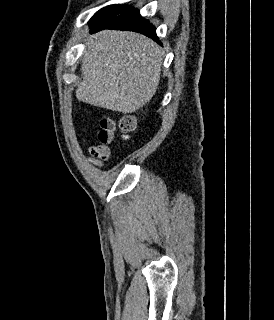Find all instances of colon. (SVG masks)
I'll return each instance as SVG.
<instances>
[{
    "label": "colon",
    "instance_id": "5ec220e1",
    "mask_svg": "<svg viewBox=\"0 0 274 320\" xmlns=\"http://www.w3.org/2000/svg\"><path fill=\"white\" fill-rule=\"evenodd\" d=\"M119 129L124 133H129L137 128L136 118L132 115H126L121 118L118 123ZM113 128V122L109 117H102L99 120V143H105L106 149H108V142L111 138V132Z\"/></svg>",
    "mask_w": 274,
    "mask_h": 320
}]
</instances>
